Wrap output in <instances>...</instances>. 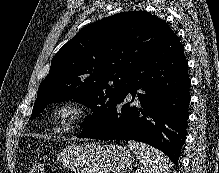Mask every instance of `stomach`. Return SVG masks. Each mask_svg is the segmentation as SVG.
Instances as JSON below:
<instances>
[{"label": "stomach", "mask_w": 219, "mask_h": 173, "mask_svg": "<svg viewBox=\"0 0 219 173\" xmlns=\"http://www.w3.org/2000/svg\"><path fill=\"white\" fill-rule=\"evenodd\" d=\"M57 160L75 173H127L134 161L125 147L99 143L67 146Z\"/></svg>", "instance_id": "stomach-1"}]
</instances>
